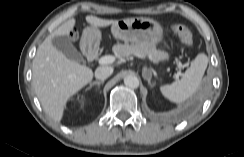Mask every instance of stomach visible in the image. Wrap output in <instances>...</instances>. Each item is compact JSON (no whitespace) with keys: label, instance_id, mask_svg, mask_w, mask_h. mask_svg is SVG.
<instances>
[{"label":"stomach","instance_id":"stomach-1","mask_svg":"<svg viewBox=\"0 0 244 157\" xmlns=\"http://www.w3.org/2000/svg\"><path fill=\"white\" fill-rule=\"evenodd\" d=\"M86 34L94 36L95 39L90 44L98 43L100 37L92 28L85 29ZM112 34L115 38L134 43L137 46H144L156 50V45L163 39V27L161 24L151 18L136 17L118 20L112 25ZM85 37L82 38V43H87ZM160 60H168L169 54L165 51H158Z\"/></svg>","mask_w":244,"mask_h":157}]
</instances>
